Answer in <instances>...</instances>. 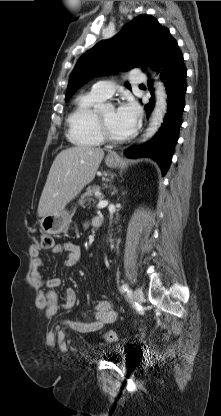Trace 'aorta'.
<instances>
[{
  "label": "aorta",
  "instance_id": "obj_1",
  "mask_svg": "<svg viewBox=\"0 0 221 416\" xmlns=\"http://www.w3.org/2000/svg\"><path fill=\"white\" fill-rule=\"evenodd\" d=\"M155 96L156 102L153 115L141 142L147 141L156 134L163 122V118L167 111V95L164 84L161 81L156 82Z\"/></svg>",
  "mask_w": 221,
  "mask_h": 416
}]
</instances>
